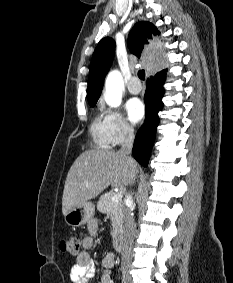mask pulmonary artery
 <instances>
[{"label": "pulmonary artery", "instance_id": "pulmonary-artery-1", "mask_svg": "<svg viewBox=\"0 0 233 283\" xmlns=\"http://www.w3.org/2000/svg\"><path fill=\"white\" fill-rule=\"evenodd\" d=\"M127 89L131 94H138L142 90V86L140 83V80L138 79L137 76H133L128 84H127Z\"/></svg>", "mask_w": 233, "mask_h": 283}]
</instances>
